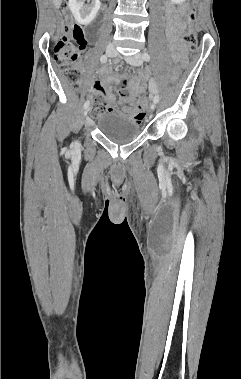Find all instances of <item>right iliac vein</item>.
<instances>
[{
    "label": "right iliac vein",
    "instance_id": "right-iliac-vein-1",
    "mask_svg": "<svg viewBox=\"0 0 241 379\" xmlns=\"http://www.w3.org/2000/svg\"><path fill=\"white\" fill-rule=\"evenodd\" d=\"M106 54H107L109 57H114V56H116L117 52H116V49H115L114 45L109 44V45L107 46V48H106ZM88 112H89V107H87V108L85 109V111H84V117L87 116ZM86 124H87V125L89 124L88 119H86Z\"/></svg>",
    "mask_w": 241,
    "mask_h": 379
}]
</instances>
